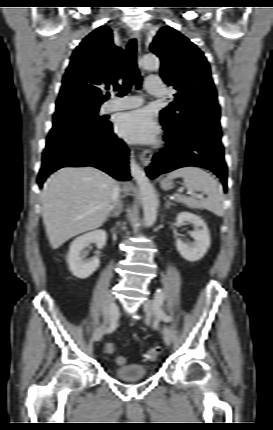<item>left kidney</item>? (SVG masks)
Returning <instances> with one entry per match:
<instances>
[{
    "label": "left kidney",
    "instance_id": "left-kidney-1",
    "mask_svg": "<svg viewBox=\"0 0 273 430\" xmlns=\"http://www.w3.org/2000/svg\"><path fill=\"white\" fill-rule=\"evenodd\" d=\"M187 222L193 224L195 227V230L190 233L194 242H184L178 238L176 247L184 259L194 262L200 260L210 247V233L206 222L200 216L191 212H181L178 214L176 219L177 226H181Z\"/></svg>",
    "mask_w": 273,
    "mask_h": 430
}]
</instances>
